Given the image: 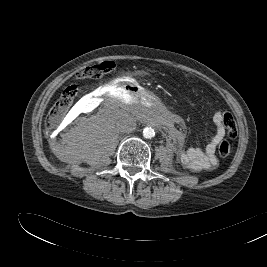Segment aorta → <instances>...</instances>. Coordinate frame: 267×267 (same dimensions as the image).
<instances>
[{
	"instance_id": "aorta-1",
	"label": "aorta",
	"mask_w": 267,
	"mask_h": 267,
	"mask_svg": "<svg viewBox=\"0 0 267 267\" xmlns=\"http://www.w3.org/2000/svg\"><path fill=\"white\" fill-rule=\"evenodd\" d=\"M155 135V131L153 128L151 127H147L143 130V136L147 139H151L153 138Z\"/></svg>"
}]
</instances>
